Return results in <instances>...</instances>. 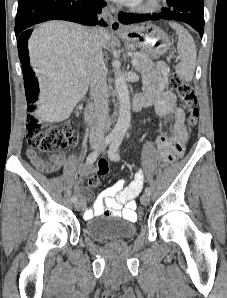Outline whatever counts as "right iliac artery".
Instances as JSON below:
<instances>
[{
    "label": "right iliac artery",
    "mask_w": 227,
    "mask_h": 298,
    "mask_svg": "<svg viewBox=\"0 0 227 298\" xmlns=\"http://www.w3.org/2000/svg\"><path fill=\"white\" fill-rule=\"evenodd\" d=\"M113 139L114 138L113 137H110V136L106 137L105 140L103 141L101 147L99 149L91 152L88 155V157L86 159L87 164H93L95 162V160L97 159V157H98L101 149L103 147L107 146L109 143H111L113 141ZM71 200H72V202H76L77 201V197L76 196H73Z\"/></svg>",
    "instance_id": "obj_1"
}]
</instances>
